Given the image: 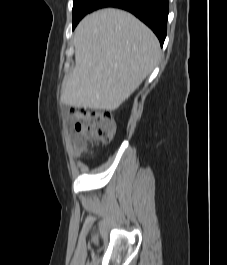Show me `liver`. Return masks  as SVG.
Wrapping results in <instances>:
<instances>
[{"label":"liver","instance_id":"obj_1","mask_svg":"<svg viewBox=\"0 0 227 265\" xmlns=\"http://www.w3.org/2000/svg\"><path fill=\"white\" fill-rule=\"evenodd\" d=\"M75 67L61 102L92 110L117 109L152 72L160 55L154 33L132 14L103 9L87 15L74 36Z\"/></svg>","mask_w":227,"mask_h":265}]
</instances>
